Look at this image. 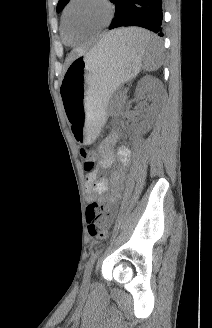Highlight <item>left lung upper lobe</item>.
Instances as JSON below:
<instances>
[{
  "label": "left lung upper lobe",
  "mask_w": 212,
  "mask_h": 328,
  "mask_svg": "<svg viewBox=\"0 0 212 328\" xmlns=\"http://www.w3.org/2000/svg\"><path fill=\"white\" fill-rule=\"evenodd\" d=\"M69 2V0H59L58 5H57V12H60L66 4Z\"/></svg>",
  "instance_id": "obj_1"
}]
</instances>
